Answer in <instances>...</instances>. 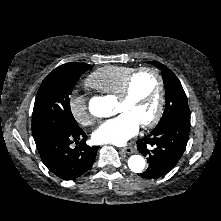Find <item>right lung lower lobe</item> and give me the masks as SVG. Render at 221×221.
I'll return each instance as SVG.
<instances>
[{
	"instance_id": "obj_1",
	"label": "right lung lower lobe",
	"mask_w": 221,
	"mask_h": 221,
	"mask_svg": "<svg viewBox=\"0 0 221 221\" xmlns=\"http://www.w3.org/2000/svg\"><path fill=\"white\" fill-rule=\"evenodd\" d=\"M42 162L57 177L63 180H73L93 165L98 147L87 146L85 132L79 127L74 131L53 129L33 135ZM80 145L72 149L73 141Z\"/></svg>"
}]
</instances>
